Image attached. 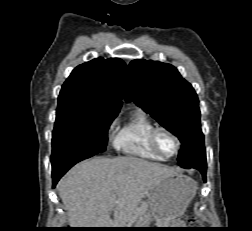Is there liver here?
<instances>
[{
    "label": "liver",
    "mask_w": 252,
    "mask_h": 231,
    "mask_svg": "<svg viewBox=\"0 0 252 231\" xmlns=\"http://www.w3.org/2000/svg\"><path fill=\"white\" fill-rule=\"evenodd\" d=\"M174 174L163 164L132 156L92 158L75 165L59 181L58 192L72 228H123L140 217L142 199Z\"/></svg>",
    "instance_id": "obj_1"
}]
</instances>
